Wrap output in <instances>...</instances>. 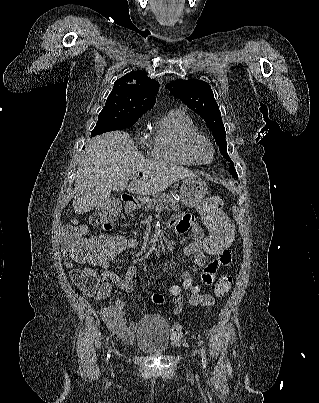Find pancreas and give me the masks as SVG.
Wrapping results in <instances>:
<instances>
[{
    "label": "pancreas",
    "instance_id": "pancreas-1",
    "mask_svg": "<svg viewBox=\"0 0 319 403\" xmlns=\"http://www.w3.org/2000/svg\"><path fill=\"white\" fill-rule=\"evenodd\" d=\"M170 206L174 211H180L181 206L179 205V201L174 199L171 194L161 193L153 196L152 199H149L146 203L145 210H151L157 207Z\"/></svg>",
    "mask_w": 319,
    "mask_h": 403
}]
</instances>
